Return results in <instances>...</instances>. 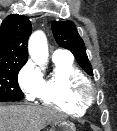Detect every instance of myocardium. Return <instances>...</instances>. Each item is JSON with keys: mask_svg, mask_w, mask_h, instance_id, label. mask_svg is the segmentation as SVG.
<instances>
[{"mask_svg": "<svg viewBox=\"0 0 117 131\" xmlns=\"http://www.w3.org/2000/svg\"><path fill=\"white\" fill-rule=\"evenodd\" d=\"M78 91L84 97L93 101L96 98L97 90L95 85L88 79H85L78 87Z\"/></svg>", "mask_w": 117, "mask_h": 131, "instance_id": "myocardium-1", "label": "myocardium"}]
</instances>
